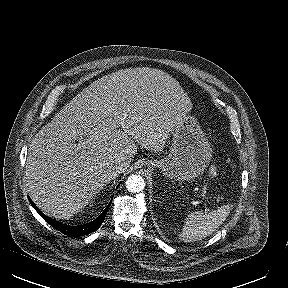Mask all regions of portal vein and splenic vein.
<instances>
[{"instance_id": "1", "label": "portal vein and splenic vein", "mask_w": 288, "mask_h": 288, "mask_svg": "<svg viewBox=\"0 0 288 288\" xmlns=\"http://www.w3.org/2000/svg\"><path fill=\"white\" fill-rule=\"evenodd\" d=\"M203 189H206L207 188V184L206 183H203ZM205 211H209L208 207H205Z\"/></svg>"}]
</instances>
